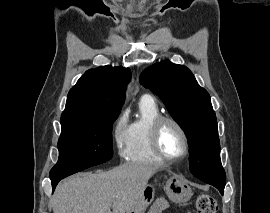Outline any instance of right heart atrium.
Here are the masks:
<instances>
[{
	"label": "right heart atrium",
	"instance_id": "d8ad5b80",
	"mask_svg": "<svg viewBox=\"0 0 270 213\" xmlns=\"http://www.w3.org/2000/svg\"><path fill=\"white\" fill-rule=\"evenodd\" d=\"M112 142L120 156H124L127 141V116L124 112L116 118L112 128Z\"/></svg>",
	"mask_w": 270,
	"mask_h": 213
}]
</instances>
